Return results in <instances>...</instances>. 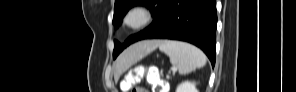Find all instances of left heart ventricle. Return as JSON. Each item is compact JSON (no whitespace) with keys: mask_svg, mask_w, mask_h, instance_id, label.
Segmentation results:
<instances>
[{"mask_svg":"<svg viewBox=\"0 0 296 92\" xmlns=\"http://www.w3.org/2000/svg\"><path fill=\"white\" fill-rule=\"evenodd\" d=\"M137 18L135 17L133 20L135 21Z\"/></svg>","mask_w":296,"mask_h":92,"instance_id":"1","label":"left heart ventricle"}]
</instances>
